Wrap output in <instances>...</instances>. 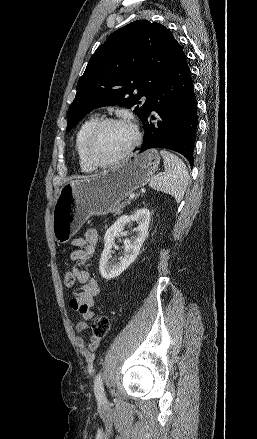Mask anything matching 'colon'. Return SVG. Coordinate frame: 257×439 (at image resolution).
Returning a JSON list of instances; mask_svg holds the SVG:
<instances>
[{
  "label": "colon",
  "instance_id": "obj_1",
  "mask_svg": "<svg viewBox=\"0 0 257 439\" xmlns=\"http://www.w3.org/2000/svg\"><path fill=\"white\" fill-rule=\"evenodd\" d=\"M75 277L71 271L64 273L63 282L67 287H72L75 284ZM110 330V322L106 316H96L92 321L93 335L102 338L105 337Z\"/></svg>",
  "mask_w": 257,
  "mask_h": 439
}]
</instances>
